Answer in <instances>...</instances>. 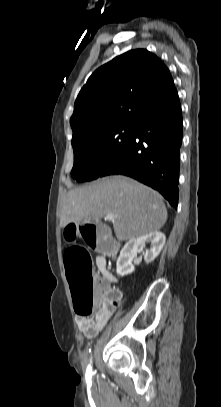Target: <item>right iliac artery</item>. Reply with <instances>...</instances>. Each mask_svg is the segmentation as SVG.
<instances>
[{"label":"right iliac artery","mask_w":221,"mask_h":407,"mask_svg":"<svg viewBox=\"0 0 221 407\" xmlns=\"http://www.w3.org/2000/svg\"><path fill=\"white\" fill-rule=\"evenodd\" d=\"M92 377V367H91V362L88 365L87 369H86V379L90 380Z\"/></svg>","instance_id":"obj_1"}]
</instances>
